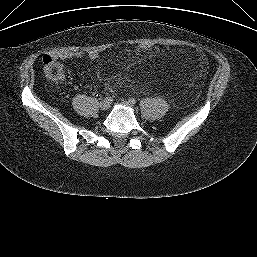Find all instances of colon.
Instances as JSON below:
<instances>
[{"instance_id": "1", "label": "colon", "mask_w": 257, "mask_h": 257, "mask_svg": "<svg viewBox=\"0 0 257 257\" xmlns=\"http://www.w3.org/2000/svg\"><path fill=\"white\" fill-rule=\"evenodd\" d=\"M153 46L148 43H140L137 45V49L140 52H149L152 50ZM43 65H44V72L45 75L53 80V81H59L62 80L64 77V69L62 65L49 56H44L43 58Z\"/></svg>"}]
</instances>
